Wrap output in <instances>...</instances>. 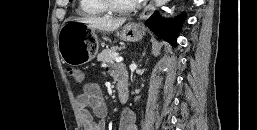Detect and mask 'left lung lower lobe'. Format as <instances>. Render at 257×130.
<instances>
[{
  "label": "left lung lower lobe",
  "instance_id": "left-lung-lower-lobe-1",
  "mask_svg": "<svg viewBox=\"0 0 257 130\" xmlns=\"http://www.w3.org/2000/svg\"><path fill=\"white\" fill-rule=\"evenodd\" d=\"M185 14L169 21L163 19L158 12L154 13L147 21L146 25L151 28L155 34L176 46V39L179 35L180 27L185 19Z\"/></svg>",
  "mask_w": 257,
  "mask_h": 130
}]
</instances>
